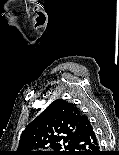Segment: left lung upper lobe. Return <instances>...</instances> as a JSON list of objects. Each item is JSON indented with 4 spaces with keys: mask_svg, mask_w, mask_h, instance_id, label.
Returning <instances> with one entry per match:
<instances>
[{
    "mask_svg": "<svg viewBox=\"0 0 119 155\" xmlns=\"http://www.w3.org/2000/svg\"><path fill=\"white\" fill-rule=\"evenodd\" d=\"M80 110L63 99L52 102L21 134L15 155H76Z\"/></svg>",
    "mask_w": 119,
    "mask_h": 155,
    "instance_id": "5c2ea615",
    "label": "left lung upper lobe"
}]
</instances>
